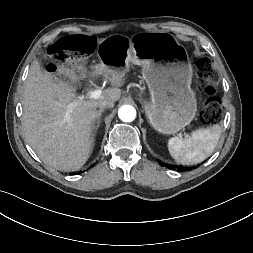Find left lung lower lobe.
<instances>
[{"mask_svg":"<svg viewBox=\"0 0 253 253\" xmlns=\"http://www.w3.org/2000/svg\"><path fill=\"white\" fill-rule=\"evenodd\" d=\"M162 166H165V167H169L167 164L163 163V162H159ZM179 172H182V171H185L184 169L182 168H179L178 169Z\"/></svg>","mask_w":253,"mask_h":253,"instance_id":"obj_1","label":"left lung lower lobe"}]
</instances>
